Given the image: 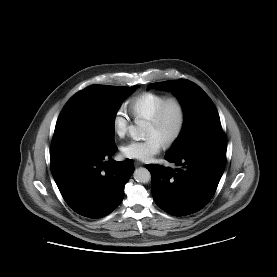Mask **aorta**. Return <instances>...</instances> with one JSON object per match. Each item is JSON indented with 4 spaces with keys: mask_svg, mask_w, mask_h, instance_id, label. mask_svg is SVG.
Listing matches in <instances>:
<instances>
[{
    "mask_svg": "<svg viewBox=\"0 0 277 277\" xmlns=\"http://www.w3.org/2000/svg\"><path fill=\"white\" fill-rule=\"evenodd\" d=\"M129 133L134 140L141 139L145 136V123L141 121L137 125L129 126ZM134 179L140 183H148L151 180V174L148 169L140 167L134 171Z\"/></svg>",
    "mask_w": 277,
    "mask_h": 277,
    "instance_id": "obj_1",
    "label": "aorta"
}]
</instances>
